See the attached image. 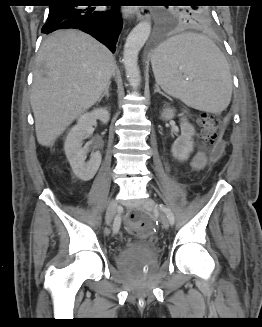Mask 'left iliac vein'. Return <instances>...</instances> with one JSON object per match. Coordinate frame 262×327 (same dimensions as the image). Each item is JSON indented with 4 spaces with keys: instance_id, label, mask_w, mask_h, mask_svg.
<instances>
[{
    "instance_id": "left-iliac-vein-1",
    "label": "left iliac vein",
    "mask_w": 262,
    "mask_h": 327,
    "mask_svg": "<svg viewBox=\"0 0 262 327\" xmlns=\"http://www.w3.org/2000/svg\"><path fill=\"white\" fill-rule=\"evenodd\" d=\"M143 206L145 209L152 211L156 209V203L153 199L151 198H147L145 200V202L143 203ZM160 222L163 226V228L168 229L169 228V220L167 219V217L164 214H160Z\"/></svg>"
}]
</instances>
